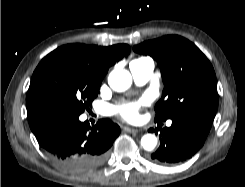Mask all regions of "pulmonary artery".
<instances>
[{"label": "pulmonary artery", "mask_w": 245, "mask_h": 187, "mask_svg": "<svg viewBox=\"0 0 245 187\" xmlns=\"http://www.w3.org/2000/svg\"><path fill=\"white\" fill-rule=\"evenodd\" d=\"M130 71L137 85H143L153 76L154 62L150 58H144L136 62H131ZM171 122L168 123L170 125Z\"/></svg>", "instance_id": "obj_1"}]
</instances>
